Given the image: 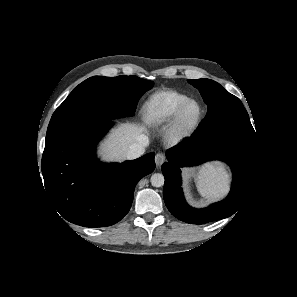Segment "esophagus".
<instances>
[{
    "label": "esophagus",
    "instance_id": "esophagus-1",
    "mask_svg": "<svg viewBox=\"0 0 297 297\" xmlns=\"http://www.w3.org/2000/svg\"><path fill=\"white\" fill-rule=\"evenodd\" d=\"M166 161V157L162 153H158L155 156V164L156 166H161Z\"/></svg>",
    "mask_w": 297,
    "mask_h": 297
}]
</instances>
